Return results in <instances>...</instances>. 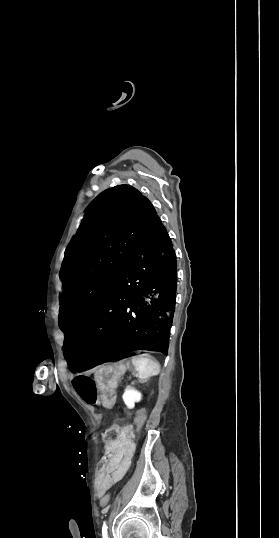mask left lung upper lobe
Instances as JSON below:
<instances>
[{
  "instance_id": "obj_1",
  "label": "left lung upper lobe",
  "mask_w": 279,
  "mask_h": 538,
  "mask_svg": "<svg viewBox=\"0 0 279 538\" xmlns=\"http://www.w3.org/2000/svg\"><path fill=\"white\" fill-rule=\"evenodd\" d=\"M157 218L151 202L129 185L92 201L62 263L59 326L65 335L93 318Z\"/></svg>"
}]
</instances>
